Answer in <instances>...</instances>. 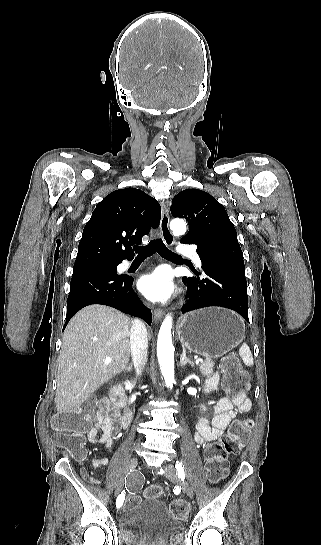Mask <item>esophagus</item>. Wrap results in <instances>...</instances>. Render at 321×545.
<instances>
[{
	"instance_id": "obj_1",
	"label": "esophagus",
	"mask_w": 321,
	"mask_h": 545,
	"mask_svg": "<svg viewBox=\"0 0 321 545\" xmlns=\"http://www.w3.org/2000/svg\"><path fill=\"white\" fill-rule=\"evenodd\" d=\"M161 208H162V215H161V221H160L161 235L168 244L172 245L174 243V236L169 228L168 208L164 202L161 203ZM163 315H164V310H161V309L154 310L155 321L157 322L160 321Z\"/></svg>"
}]
</instances>
